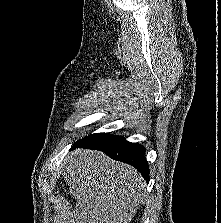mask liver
<instances>
[{
	"label": "liver",
	"mask_w": 221,
	"mask_h": 223,
	"mask_svg": "<svg viewBox=\"0 0 221 223\" xmlns=\"http://www.w3.org/2000/svg\"><path fill=\"white\" fill-rule=\"evenodd\" d=\"M62 168L76 206L58 223H129L143 201L145 182L139 172L102 152L76 149Z\"/></svg>",
	"instance_id": "liver-1"
}]
</instances>
